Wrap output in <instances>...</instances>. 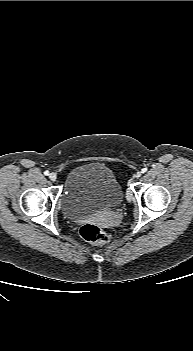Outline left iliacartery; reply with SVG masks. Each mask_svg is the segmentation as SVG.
<instances>
[{
  "instance_id": "obj_1",
  "label": "left iliac artery",
  "mask_w": 193,
  "mask_h": 351,
  "mask_svg": "<svg viewBox=\"0 0 193 351\" xmlns=\"http://www.w3.org/2000/svg\"><path fill=\"white\" fill-rule=\"evenodd\" d=\"M147 171V168H143L142 170H141V173H145Z\"/></svg>"
}]
</instances>
